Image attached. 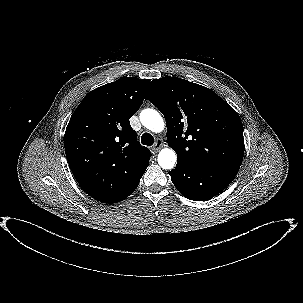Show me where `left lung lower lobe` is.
I'll use <instances>...</instances> for the list:
<instances>
[{"label": "left lung lower lobe", "instance_id": "1", "mask_svg": "<svg viewBox=\"0 0 303 303\" xmlns=\"http://www.w3.org/2000/svg\"><path fill=\"white\" fill-rule=\"evenodd\" d=\"M239 168L222 165H190L177 162L169 172L175 187L188 199L208 200L222 192L234 179Z\"/></svg>", "mask_w": 303, "mask_h": 303}]
</instances>
